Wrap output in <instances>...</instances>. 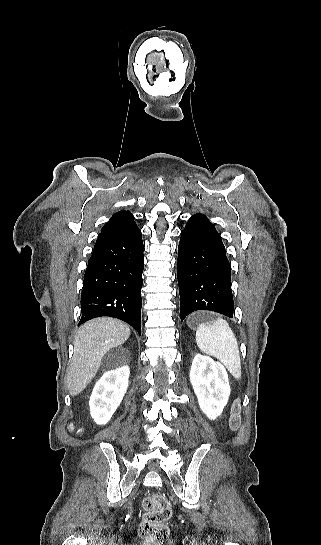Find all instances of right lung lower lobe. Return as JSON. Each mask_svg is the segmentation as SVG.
I'll return each instance as SVG.
<instances>
[{"label": "right lung lower lobe", "instance_id": "obj_1", "mask_svg": "<svg viewBox=\"0 0 321 545\" xmlns=\"http://www.w3.org/2000/svg\"><path fill=\"white\" fill-rule=\"evenodd\" d=\"M143 251L136 224L97 239L84 274L79 325L110 316L129 323L141 335Z\"/></svg>", "mask_w": 321, "mask_h": 545}]
</instances>
